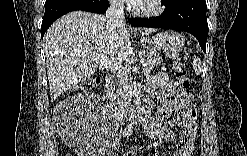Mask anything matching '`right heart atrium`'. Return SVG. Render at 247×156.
I'll return each mask as SVG.
<instances>
[{
  "instance_id": "right-heart-atrium-1",
  "label": "right heart atrium",
  "mask_w": 247,
  "mask_h": 156,
  "mask_svg": "<svg viewBox=\"0 0 247 156\" xmlns=\"http://www.w3.org/2000/svg\"><path fill=\"white\" fill-rule=\"evenodd\" d=\"M112 4L116 7H121L123 5V2L120 0L113 1Z\"/></svg>"
}]
</instances>
